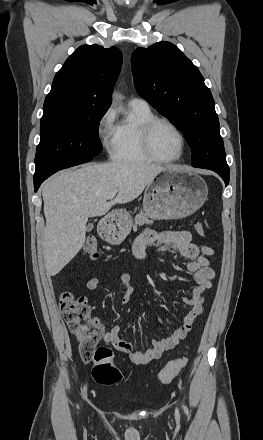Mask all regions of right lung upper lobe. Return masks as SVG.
<instances>
[{"label":"right lung upper lobe","mask_w":263,"mask_h":440,"mask_svg":"<svg viewBox=\"0 0 263 440\" xmlns=\"http://www.w3.org/2000/svg\"><path fill=\"white\" fill-rule=\"evenodd\" d=\"M121 65L122 53L116 47L80 46L55 75L44 114L108 110Z\"/></svg>","instance_id":"cb5924a9"}]
</instances>
